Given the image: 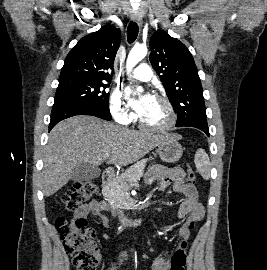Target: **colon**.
<instances>
[{
  "mask_svg": "<svg viewBox=\"0 0 267 270\" xmlns=\"http://www.w3.org/2000/svg\"><path fill=\"white\" fill-rule=\"evenodd\" d=\"M186 182L192 185L196 183V174L190 166L186 170ZM97 190L94 181L77 183L63 195L62 204L67 212H76ZM55 227L77 270H96L100 259L97 240L94 231L87 226V221L85 219L68 221L60 216L55 221ZM190 228L191 230L196 228L195 222L191 223ZM187 248L188 244L184 242L172 254L170 270H185Z\"/></svg>",
  "mask_w": 267,
  "mask_h": 270,
  "instance_id": "1",
  "label": "colon"
}]
</instances>
